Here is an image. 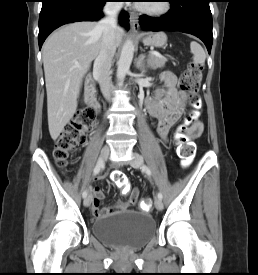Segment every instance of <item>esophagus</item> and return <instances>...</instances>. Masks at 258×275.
I'll use <instances>...</instances> for the list:
<instances>
[{
  "mask_svg": "<svg viewBox=\"0 0 258 275\" xmlns=\"http://www.w3.org/2000/svg\"><path fill=\"white\" fill-rule=\"evenodd\" d=\"M130 25L132 30L134 31L139 30V19H138V14L136 12L130 13Z\"/></svg>",
  "mask_w": 258,
  "mask_h": 275,
  "instance_id": "obj_1",
  "label": "esophagus"
}]
</instances>
